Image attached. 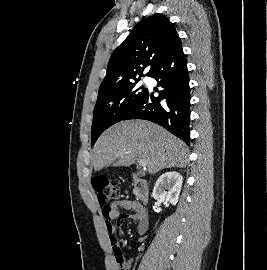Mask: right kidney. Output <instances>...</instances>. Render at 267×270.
Listing matches in <instances>:
<instances>
[{
    "label": "right kidney",
    "mask_w": 267,
    "mask_h": 270,
    "mask_svg": "<svg viewBox=\"0 0 267 270\" xmlns=\"http://www.w3.org/2000/svg\"><path fill=\"white\" fill-rule=\"evenodd\" d=\"M183 177L176 171L162 174L154 185L152 196L155 200L168 201L176 205L179 199Z\"/></svg>",
    "instance_id": "right-kidney-1"
}]
</instances>
